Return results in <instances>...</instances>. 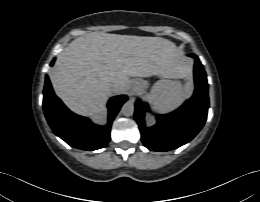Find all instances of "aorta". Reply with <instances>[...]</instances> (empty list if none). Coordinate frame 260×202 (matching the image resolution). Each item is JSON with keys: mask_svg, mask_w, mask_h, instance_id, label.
I'll return each instance as SVG.
<instances>
[{"mask_svg": "<svg viewBox=\"0 0 260 202\" xmlns=\"http://www.w3.org/2000/svg\"><path fill=\"white\" fill-rule=\"evenodd\" d=\"M134 111H135V106L131 101L125 102L121 108V113L124 116H132L134 114Z\"/></svg>", "mask_w": 260, "mask_h": 202, "instance_id": "762f6f07", "label": "aorta"}]
</instances>
